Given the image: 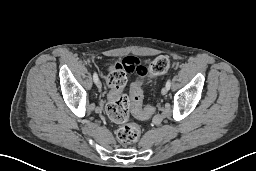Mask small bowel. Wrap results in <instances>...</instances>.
I'll return each instance as SVG.
<instances>
[{
  "mask_svg": "<svg viewBox=\"0 0 256 171\" xmlns=\"http://www.w3.org/2000/svg\"><path fill=\"white\" fill-rule=\"evenodd\" d=\"M118 68L122 69L126 74L136 73L138 75L144 76L149 73V69L145 63L136 56H127L123 58L120 62H116L115 64L111 65L109 70H115ZM149 115L141 117L140 119H147Z\"/></svg>",
  "mask_w": 256,
  "mask_h": 171,
  "instance_id": "small-bowel-1",
  "label": "small bowel"
}]
</instances>
